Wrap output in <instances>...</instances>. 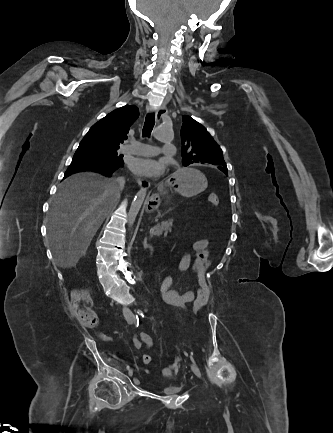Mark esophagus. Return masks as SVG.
<instances>
[{
  "instance_id": "esophagus-1",
  "label": "esophagus",
  "mask_w": 333,
  "mask_h": 433,
  "mask_svg": "<svg viewBox=\"0 0 333 433\" xmlns=\"http://www.w3.org/2000/svg\"><path fill=\"white\" fill-rule=\"evenodd\" d=\"M166 114L167 108L163 105L156 112V124H160L163 116H165ZM137 183L142 189H147L150 186V182L146 178L139 177L137 179Z\"/></svg>"
}]
</instances>
